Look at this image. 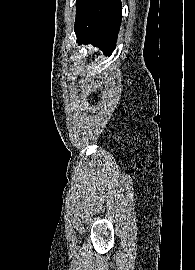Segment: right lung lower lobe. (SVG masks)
I'll return each instance as SVG.
<instances>
[{
  "mask_svg": "<svg viewBox=\"0 0 195 270\" xmlns=\"http://www.w3.org/2000/svg\"><path fill=\"white\" fill-rule=\"evenodd\" d=\"M120 0H77L75 33L80 43H91L111 55L121 25Z\"/></svg>",
  "mask_w": 195,
  "mask_h": 270,
  "instance_id": "obj_1",
  "label": "right lung lower lobe"
}]
</instances>
